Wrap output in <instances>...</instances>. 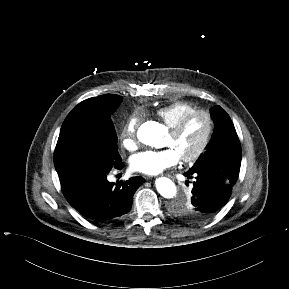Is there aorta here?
<instances>
[{"mask_svg":"<svg viewBox=\"0 0 289 289\" xmlns=\"http://www.w3.org/2000/svg\"><path fill=\"white\" fill-rule=\"evenodd\" d=\"M166 133L165 127L157 122H147L138 130V139L145 145L160 148ZM156 189L161 196L173 199L177 196V188L172 180L161 177L156 180ZM186 201L185 197H182Z\"/></svg>","mask_w":289,"mask_h":289,"instance_id":"762f6f07","label":"aorta"}]
</instances>
